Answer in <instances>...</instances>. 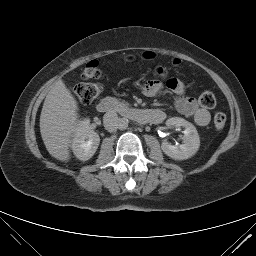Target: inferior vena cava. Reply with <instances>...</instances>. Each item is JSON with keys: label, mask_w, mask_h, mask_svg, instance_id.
<instances>
[{"label": "inferior vena cava", "mask_w": 256, "mask_h": 256, "mask_svg": "<svg viewBox=\"0 0 256 256\" xmlns=\"http://www.w3.org/2000/svg\"><path fill=\"white\" fill-rule=\"evenodd\" d=\"M119 120L117 113L110 111L104 114L103 123L106 130L109 132H115L119 126Z\"/></svg>", "instance_id": "602c4592"}]
</instances>
